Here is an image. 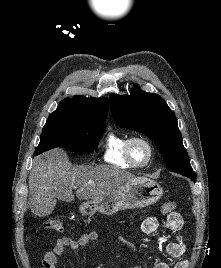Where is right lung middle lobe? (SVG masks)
<instances>
[{"label": "right lung middle lobe", "instance_id": "right-lung-middle-lobe-1", "mask_svg": "<svg viewBox=\"0 0 221 268\" xmlns=\"http://www.w3.org/2000/svg\"><path fill=\"white\" fill-rule=\"evenodd\" d=\"M105 123L85 121L66 114L52 113L42 129L35 155L54 147H64L79 153L97 149Z\"/></svg>", "mask_w": 221, "mask_h": 268}]
</instances>
